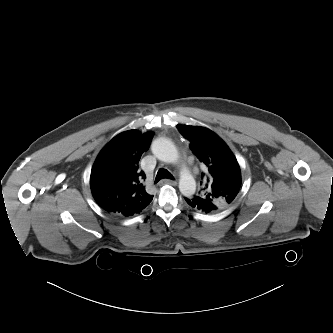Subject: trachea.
I'll use <instances>...</instances> for the list:
<instances>
[{"instance_id": "1", "label": "trachea", "mask_w": 333, "mask_h": 333, "mask_svg": "<svg viewBox=\"0 0 333 333\" xmlns=\"http://www.w3.org/2000/svg\"><path fill=\"white\" fill-rule=\"evenodd\" d=\"M171 179L174 180L173 175L167 169H159L157 172L155 183L159 182L161 179Z\"/></svg>"}]
</instances>
